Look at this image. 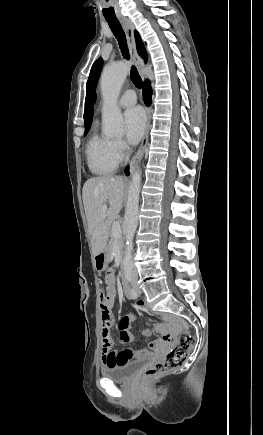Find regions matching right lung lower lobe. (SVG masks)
Wrapping results in <instances>:
<instances>
[{"label":"right lung lower lobe","mask_w":263,"mask_h":435,"mask_svg":"<svg viewBox=\"0 0 263 435\" xmlns=\"http://www.w3.org/2000/svg\"><path fill=\"white\" fill-rule=\"evenodd\" d=\"M151 94H152V90L150 87V83L149 81H145L144 82V87H143V99L145 104L148 106L151 103ZM126 174H128L127 169H126Z\"/></svg>","instance_id":"1"}]
</instances>
